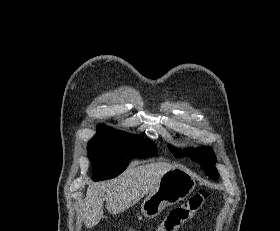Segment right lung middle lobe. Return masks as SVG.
<instances>
[{
    "label": "right lung middle lobe",
    "instance_id": "obj_1",
    "mask_svg": "<svg viewBox=\"0 0 280 231\" xmlns=\"http://www.w3.org/2000/svg\"><path fill=\"white\" fill-rule=\"evenodd\" d=\"M87 150L92 161L94 181L107 180L121 174L130 158L157 156L154 142L137 135L99 125L97 134L88 142Z\"/></svg>",
    "mask_w": 280,
    "mask_h": 231
}]
</instances>
